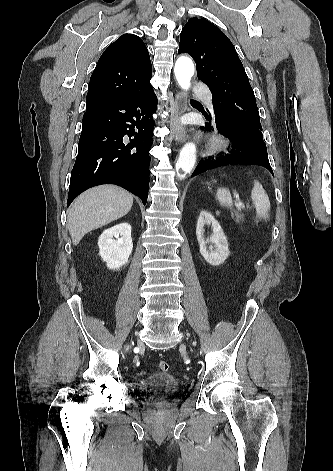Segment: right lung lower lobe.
Returning a JSON list of instances; mask_svg holds the SVG:
<instances>
[{
	"label": "right lung lower lobe",
	"instance_id": "1",
	"mask_svg": "<svg viewBox=\"0 0 333 471\" xmlns=\"http://www.w3.org/2000/svg\"><path fill=\"white\" fill-rule=\"evenodd\" d=\"M156 107L149 82L126 97L84 113L67 206L86 189L106 183L125 188L146 204Z\"/></svg>",
	"mask_w": 333,
	"mask_h": 471
}]
</instances>
